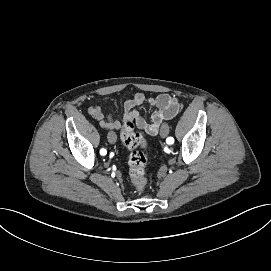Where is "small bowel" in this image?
<instances>
[{
  "label": "small bowel",
  "mask_w": 271,
  "mask_h": 271,
  "mask_svg": "<svg viewBox=\"0 0 271 271\" xmlns=\"http://www.w3.org/2000/svg\"><path fill=\"white\" fill-rule=\"evenodd\" d=\"M145 104L155 108L150 120H146L137 110L139 106ZM179 110L180 104L178 100L168 94L146 97L142 93H137L125 102L123 116L120 120L115 119L113 116H106L98 106H90L88 114L97 120L103 129L109 132L121 131L127 122H132L137 128L150 135H155L158 133L161 124L174 118Z\"/></svg>",
  "instance_id": "c3829d8e"
}]
</instances>
